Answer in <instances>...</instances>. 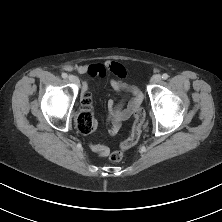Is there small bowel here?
<instances>
[{"instance_id": "obj_1", "label": "small bowel", "mask_w": 222, "mask_h": 222, "mask_svg": "<svg viewBox=\"0 0 222 222\" xmlns=\"http://www.w3.org/2000/svg\"><path fill=\"white\" fill-rule=\"evenodd\" d=\"M113 63L107 62L105 64H87V65H78L71 66L69 69L75 70L79 73L87 74L90 78L102 77L106 75L107 70L113 71L120 77H124L125 71L121 66H117L114 69H111L110 66ZM111 86L116 92H126L129 96L128 99L122 100L120 103L116 104L113 100L108 102V132L111 135H115L119 132L122 126V122L128 119L131 114L137 109V107L142 102V93L140 90L134 86L127 84L119 79H112L110 81ZM83 89H87V84L83 85ZM97 123L93 120L92 127L90 132H93L96 129ZM90 148L96 152L101 157H106L110 154V149L102 143H91Z\"/></svg>"}]
</instances>
